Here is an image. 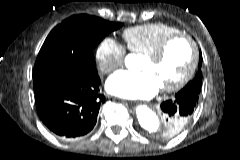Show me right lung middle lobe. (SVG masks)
I'll return each mask as SVG.
<instances>
[{
	"instance_id": "obj_1",
	"label": "right lung middle lobe",
	"mask_w": 240,
	"mask_h": 160,
	"mask_svg": "<svg viewBox=\"0 0 240 160\" xmlns=\"http://www.w3.org/2000/svg\"><path fill=\"white\" fill-rule=\"evenodd\" d=\"M122 23L89 15H74L57 25L47 36L37 56L33 78L59 68L79 76L95 74L92 50Z\"/></svg>"
}]
</instances>
